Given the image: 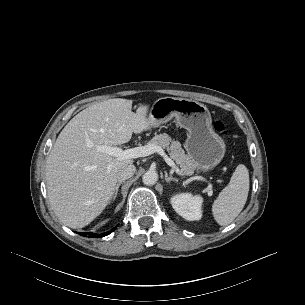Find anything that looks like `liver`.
I'll list each match as a JSON object with an SVG mask.
<instances>
[{"label": "liver", "mask_w": 305, "mask_h": 305, "mask_svg": "<svg viewBox=\"0 0 305 305\" xmlns=\"http://www.w3.org/2000/svg\"><path fill=\"white\" fill-rule=\"evenodd\" d=\"M131 109V100L109 99L82 110L60 132L46 161V186L52 209L66 226L82 228L99 216L112 198L117 171L133 163L98 150L149 129L148 106Z\"/></svg>", "instance_id": "6515ba94"}]
</instances>
